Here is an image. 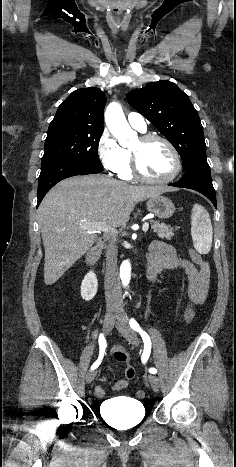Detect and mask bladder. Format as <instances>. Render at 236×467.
<instances>
[{
	"instance_id": "1",
	"label": "bladder",
	"mask_w": 236,
	"mask_h": 467,
	"mask_svg": "<svg viewBox=\"0 0 236 467\" xmlns=\"http://www.w3.org/2000/svg\"><path fill=\"white\" fill-rule=\"evenodd\" d=\"M99 411L111 426L119 429L139 424L146 415L142 402L129 397L107 399L101 404Z\"/></svg>"
}]
</instances>
